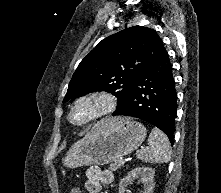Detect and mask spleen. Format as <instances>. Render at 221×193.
Segmentation results:
<instances>
[{"instance_id": "spleen-1", "label": "spleen", "mask_w": 221, "mask_h": 193, "mask_svg": "<svg viewBox=\"0 0 221 193\" xmlns=\"http://www.w3.org/2000/svg\"><path fill=\"white\" fill-rule=\"evenodd\" d=\"M137 158L146 163H168L171 159L168 137L158 128H153L148 138V147L139 150Z\"/></svg>"}]
</instances>
